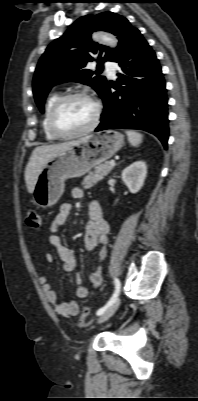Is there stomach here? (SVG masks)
I'll list each match as a JSON object with an SVG mask.
<instances>
[{
  "label": "stomach",
  "mask_w": 198,
  "mask_h": 401,
  "mask_svg": "<svg viewBox=\"0 0 198 401\" xmlns=\"http://www.w3.org/2000/svg\"><path fill=\"white\" fill-rule=\"evenodd\" d=\"M124 145V136L115 130L93 133L50 159L39 174L34 201L42 208L58 202L65 180L85 175L93 167L110 159Z\"/></svg>",
  "instance_id": "obj_1"
}]
</instances>
